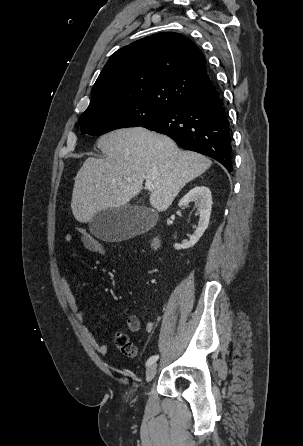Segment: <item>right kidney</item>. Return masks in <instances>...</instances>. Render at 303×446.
<instances>
[{
	"label": "right kidney",
	"mask_w": 303,
	"mask_h": 446,
	"mask_svg": "<svg viewBox=\"0 0 303 446\" xmlns=\"http://www.w3.org/2000/svg\"><path fill=\"white\" fill-rule=\"evenodd\" d=\"M194 201L199 211L198 227L193 235L190 236L189 241H185L182 244H175V249H188L193 247L201 238L203 233L208 227L211 208H212V196L211 191L206 186H196L191 189L179 202V206L187 205Z\"/></svg>",
	"instance_id": "ca27d5eb"
}]
</instances>
